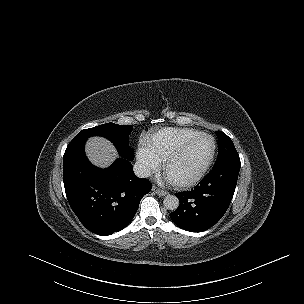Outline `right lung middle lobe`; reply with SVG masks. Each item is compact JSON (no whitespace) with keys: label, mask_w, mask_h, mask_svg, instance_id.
I'll use <instances>...</instances> for the list:
<instances>
[{"label":"right lung middle lobe","mask_w":304,"mask_h":304,"mask_svg":"<svg viewBox=\"0 0 304 304\" xmlns=\"http://www.w3.org/2000/svg\"><path fill=\"white\" fill-rule=\"evenodd\" d=\"M132 129L131 125L122 126L115 123H106L84 129L75 138L87 139L91 136H103L114 143L121 157L132 161L134 159V150L128 145V137Z\"/></svg>","instance_id":"1"}]
</instances>
